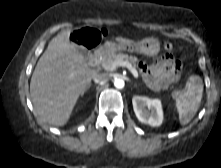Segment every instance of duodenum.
<instances>
[{"label":"duodenum","instance_id":"duodenum-1","mask_svg":"<svg viewBox=\"0 0 221 168\" xmlns=\"http://www.w3.org/2000/svg\"><path fill=\"white\" fill-rule=\"evenodd\" d=\"M103 54L102 49H97L89 55V63L92 66H96L99 64L101 56Z\"/></svg>","mask_w":221,"mask_h":168}]
</instances>
